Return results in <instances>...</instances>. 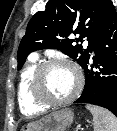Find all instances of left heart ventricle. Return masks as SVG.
<instances>
[{"label": "left heart ventricle", "instance_id": "1", "mask_svg": "<svg viewBox=\"0 0 117 131\" xmlns=\"http://www.w3.org/2000/svg\"><path fill=\"white\" fill-rule=\"evenodd\" d=\"M76 84V75L70 68L66 66H54L45 72L42 81V90L48 98L62 100L72 94Z\"/></svg>", "mask_w": 117, "mask_h": 131}]
</instances>
